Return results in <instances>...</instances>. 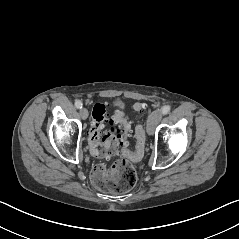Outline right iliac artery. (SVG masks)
<instances>
[{
  "mask_svg": "<svg viewBox=\"0 0 239 239\" xmlns=\"http://www.w3.org/2000/svg\"><path fill=\"white\" fill-rule=\"evenodd\" d=\"M83 106V104L80 102V101H76L75 102V107L78 108V109H81Z\"/></svg>",
  "mask_w": 239,
  "mask_h": 239,
  "instance_id": "right-iliac-artery-1",
  "label": "right iliac artery"
}]
</instances>
